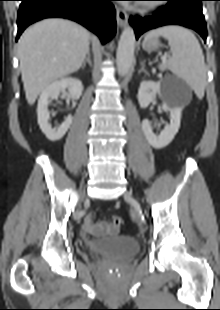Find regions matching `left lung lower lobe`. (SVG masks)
I'll return each instance as SVG.
<instances>
[{"instance_id": "left-lung-lower-lobe-1", "label": "left lung lower lobe", "mask_w": 220, "mask_h": 310, "mask_svg": "<svg viewBox=\"0 0 220 310\" xmlns=\"http://www.w3.org/2000/svg\"><path fill=\"white\" fill-rule=\"evenodd\" d=\"M167 4L160 7L153 16H131L130 24L133 26L136 39L144 32L165 26L180 25L198 32L206 42L207 27L202 13L203 0H160Z\"/></svg>"}]
</instances>
